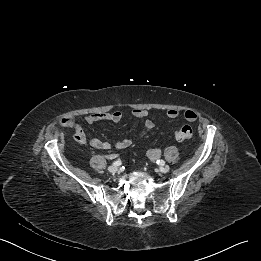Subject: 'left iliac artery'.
<instances>
[{
    "label": "left iliac artery",
    "instance_id": "44dca946",
    "mask_svg": "<svg viewBox=\"0 0 261 261\" xmlns=\"http://www.w3.org/2000/svg\"><path fill=\"white\" fill-rule=\"evenodd\" d=\"M157 164L163 166L165 164V162L163 160H157Z\"/></svg>",
    "mask_w": 261,
    "mask_h": 261
}]
</instances>
